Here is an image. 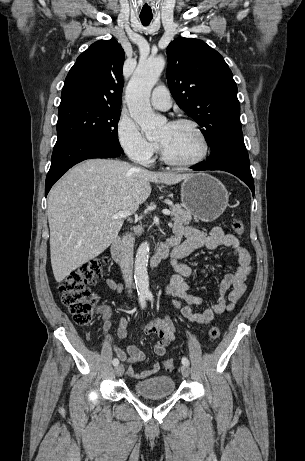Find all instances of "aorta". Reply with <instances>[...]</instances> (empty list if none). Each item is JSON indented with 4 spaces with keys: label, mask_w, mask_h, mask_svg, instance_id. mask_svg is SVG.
<instances>
[{
    "label": "aorta",
    "mask_w": 305,
    "mask_h": 461,
    "mask_svg": "<svg viewBox=\"0 0 305 461\" xmlns=\"http://www.w3.org/2000/svg\"><path fill=\"white\" fill-rule=\"evenodd\" d=\"M165 66L162 57L141 61L126 89V101L131 118L139 124L147 138L160 134L166 118L156 115L149 102L152 88L158 81ZM150 246L143 242L136 253L134 279L139 297H148L149 278L147 272Z\"/></svg>",
    "instance_id": "obj_1"
}]
</instances>
